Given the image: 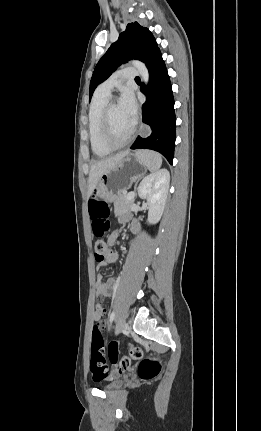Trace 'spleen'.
Wrapping results in <instances>:
<instances>
[{"label":"spleen","instance_id":"1","mask_svg":"<svg viewBox=\"0 0 261 431\" xmlns=\"http://www.w3.org/2000/svg\"><path fill=\"white\" fill-rule=\"evenodd\" d=\"M137 154L150 171H157L161 167L162 157L160 154L153 151H138Z\"/></svg>","mask_w":261,"mask_h":431}]
</instances>
